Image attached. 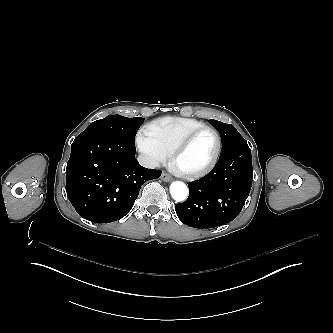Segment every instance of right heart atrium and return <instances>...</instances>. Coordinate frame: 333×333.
<instances>
[{
    "label": "right heart atrium",
    "mask_w": 333,
    "mask_h": 333,
    "mask_svg": "<svg viewBox=\"0 0 333 333\" xmlns=\"http://www.w3.org/2000/svg\"><path fill=\"white\" fill-rule=\"evenodd\" d=\"M137 147L151 165L157 167L165 164L166 156L156 148L150 147L141 141H138Z\"/></svg>",
    "instance_id": "obj_1"
}]
</instances>
